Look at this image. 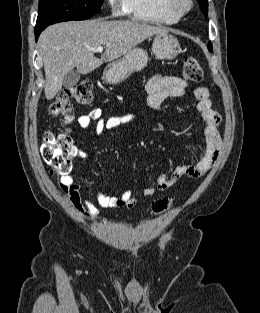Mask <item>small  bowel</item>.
<instances>
[{"mask_svg": "<svg viewBox=\"0 0 260 313\" xmlns=\"http://www.w3.org/2000/svg\"><path fill=\"white\" fill-rule=\"evenodd\" d=\"M187 86V82L178 76L160 74L152 77L146 85L149 108L154 113H161L162 103L171 97L184 96ZM194 96L198 101L200 115L205 122L206 144L200 154L199 161L190 165H178L171 175H158L156 185L144 189L143 196L146 198L152 197L157 191L170 189L183 176L190 178L203 177L213 168L218 159L222 147V139L218 130L221 117L211 108L209 90L206 87H197L194 90ZM93 121L96 122V131L101 134L105 130L114 129L121 125L138 123L140 119L133 113L105 119L102 117L100 108H92L77 118V123L81 128L89 127ZM77 158H83V153L78 152ZM59 185L75 210L86 220L97 217L101 212V208H130L138 203V198L133 196L130 190L118 196L98 194L96 202H93L82 196L81 186L71 174L62 176Z\"/></svg>", "mask_w": 260, "mask_h": 313, "instance_id": "1", "label": "small bowel"}]
</instances>
